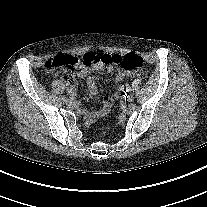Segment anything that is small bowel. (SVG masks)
Wrapping results in <instances>:
<instances>
[{
    "instance_id": "1",
    "label": "small bowel",
    "mask_w": 207,
    "mask_h": 207,
    "mask_svg": "<svg viewBox=\"0 0 207 207\" xmlns=\"http://www.w3.org/2000/svg\"><path fill=\"white\" fill-rule=\"evenodd\" d=\"M103 68V64L98 63V64H94L90 67H82L81 70L79 71V75L81 77H85L86 78V84L88 87L89 92L92 95H96L98 93V87H97V78L95 76H91L90 73L94 70H100ZM109 71L113 70L112 66L108 67ZM140 72H127L124 71L122 69H118L116 74H115V78L117 81H122L124 80L126 77L129 76H139ZM126 86L121 85L113 94V96H106L103 101H102V105L100 108L93 110V111H89L86 112L84 114V122L85 124H91L94 123L95 121H97L99 118L109 114L112 110L113 107V98H118L120 96L121 93L126 91ZM73 87H71L70 91H73Z\"/></svg>"
}]
</instances>
